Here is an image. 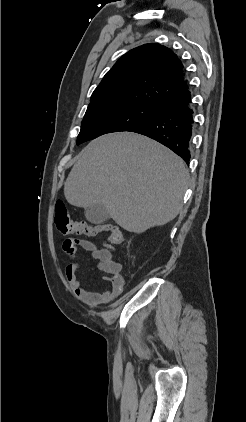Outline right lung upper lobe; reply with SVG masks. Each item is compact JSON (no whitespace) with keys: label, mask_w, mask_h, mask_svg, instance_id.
Returning <instances> with one entry per match:
<instances>
[{"label":"right lung upper lobe","mask_w":246,"mask_h":422,"mask_svg":"<svg viewBox=\"0 0 246 422\" xmlns=\"http://www.w3.org/2000/svg\"><path fill=\"white\" fill-rule=\"evenodd\" d=\"M183 68L165 46L151 43L134 48L106 73L88 107L127 102L159 106L189 91Z\"/></svg>","instance_id":"right-lung-upper-lobe-1"}]
</instances>
